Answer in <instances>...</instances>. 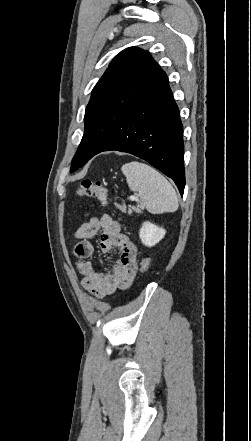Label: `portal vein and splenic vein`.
<instances>
[{
	"instance_id": "18ae733b",
	"label": "portal vein and splenic vein",
	"mask_w": 251,
	"mask_h": 441,
	"mask_svg": "<svg viewBox=\"0 0 251 441\" xmlns=\"http://www.w3.org/2000/svg\"><path fill=\"white\" fill-rule=\"evenodd\" d=\"M135 197L134 196H130V199H134Z\"/></svg>"
}]
</instances>
